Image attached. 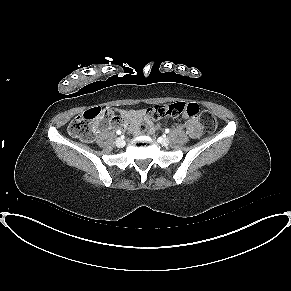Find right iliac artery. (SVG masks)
Returning <instances> with one entry per match:
<instances>
[{"mask_svg":"<svg viewBox=\"0 0 291 291\" xmlns=\"http://www.w3.org/2000/svg\"><path fill=\"white\" fill-rule=\"evenodd\" d=\"M116 133H117L118 135H120V134H121V131H120V130H118Z\"/></svg>","mask_w":291,"mask_h":291,"instance_id":"obj_1","label":"right iliac artery"}]
</instances>
